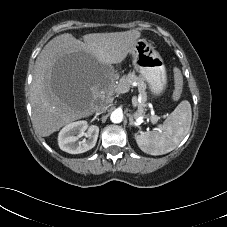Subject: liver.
Returning <instances> with one entry per match:
<instances>
[{
  "instance_id": "1",
  "label": "liver",
  "mask_w": 227,
  "mask_h": 227,
  "mask_svg": "<svg viewBox=\"0 0 227 227\" xmlns=\"http://www.w3.org/2000/svg\"><path fill=\"white\" fill-rule=\"evenodd\" d=\"M140 36L138 30H129L86 34L83 41L64 33L50 40L38 55L33 71L31 107L35 131L40 136L47 137L64 125L91 115L95 111L96 98L109 92V88L96 73L97 63H121L131 53ZM74 52L84 53L92 59L95 74L79 98L64 101L57 98L51 90L52 70L59 59Z\"/></svg>"
}]
</instances>
